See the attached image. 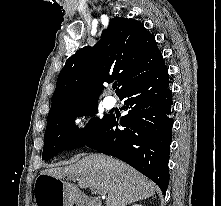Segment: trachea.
<instances>
[{
    "label": "trachea",
    "mask_w": 221,
    "mask_h": 206,
    "mask_svg": "<svg viewBox=\"0 0 221 206\" xmlns=\"http://www.w3.org/2000/svg\"><path fill=\"white\" fill-rule=\"evenodd\" d=\"M116 87H117V85H113V89H114V90L116 89Z\"/></svg>",
    "instance_id": "obj_1"
}]
</instances>
